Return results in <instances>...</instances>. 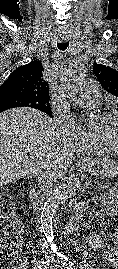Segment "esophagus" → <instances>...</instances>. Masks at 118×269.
<instances>
[{
  "mask_svg": "<svg viewBox=\"0 0 118 269\" xmlns=\"http://www.w3.org/2000/svg\"><path fill=\"white\" fill-rule=\"evenodd\" d=\"M62 41H65V39H64V38H62Z\"/></svg>",
  "mask_w": 118,
  "mask_h": 269,
  "instance_id": "34e87169",
  "label": "esophagus"
}]
</instances>
